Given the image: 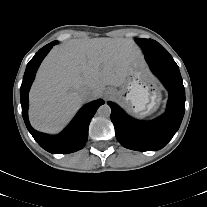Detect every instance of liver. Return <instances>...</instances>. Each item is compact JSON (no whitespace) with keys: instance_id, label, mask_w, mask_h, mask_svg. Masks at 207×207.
I'll return each instance as SVG.
<instances>
[{"instance_id":"obj_1","label":"liver","mask_w":207,"mask_h":207,"mask_svg":"<svg viewBox=\"0 0 207 207\" xmlns=\"http://www.w3.org/2000/svg\"><path fill=\"white\" fill-rule=\"evenodd\" d=\"M140 55L136 44L125 38L73 39L55 46L30 91L32 126L58 132L83 102L100 97L108 85L120 87ZM83 88L91 91L88 99L80 95Z\"/></svg>"}]
</instances>
